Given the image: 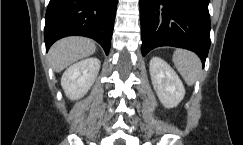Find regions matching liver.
Masks as SVG:
<instances>
[{
	"mask_svg": "<svg viewBox=\"0 0 243 145\" xmlns=\"http://www.w3.org/2000/svg\"><path fill=\"white\" fill-rule=\"evenodd\" d=\"M95 43L84 37H67L57 41L49 50V59L55 72H60L74 62L92 55Z\"/></svg>",
	"mask_w": 243,
	"mask_h": 145,
	"instance_id": "6515ba94",
	"label": "liver"
}]
</instances>
